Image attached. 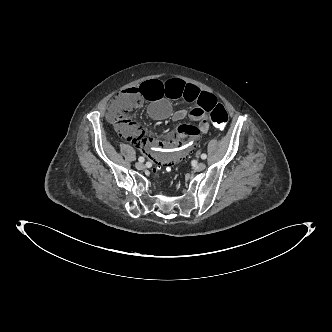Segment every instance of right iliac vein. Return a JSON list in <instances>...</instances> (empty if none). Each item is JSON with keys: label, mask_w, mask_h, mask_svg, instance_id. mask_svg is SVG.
Wrapping results in <instances>:
<instances>
[{"label": "right iliac vein", "mask_w": 332, "mask_h": 332, "mask_svg": "<svg viewBox=\"0 0 332 332\" xmlns=\"http://www.w3.org/2000/svg\"><path fill=\"white\" fill-rule=\"evenodd\" d=\"M135 167L138 170H143L145 166H144V164L142 162H136Z\"/></svg>", "instance_id": "63e3f726"}]
</instances>
